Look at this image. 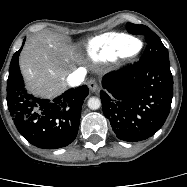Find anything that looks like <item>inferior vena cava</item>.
<instances>
[{"mask_svg": "<svg viewBox=\"0 0 187 187\" xmlns=\"http://www.w3.org/2000/svg\"><path fill=\"white\" fill-rule=\"evenodd\" d=\"M86 76L84 68H78L67 77V83L71 87L79 86Z\"/></svg>", "mask_w": 187, "mask_h": 187, "instance_id": "1", "label": "inferior vena cava"}]
</instances>
